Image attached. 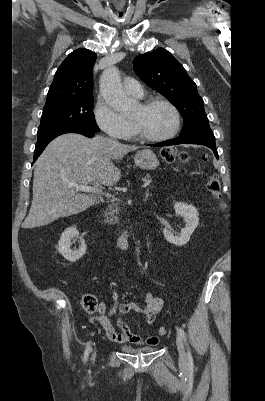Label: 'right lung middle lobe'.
Returning <instances> with one entry per match:
<instances>
[{"mask_svg":"<svg viewBox=\"0 0 265 401\" xmlns=\"http://www.w3.org/2000/svg\"><path fill=\"white\" fill-rule=\"evenodd\" d=\"M93 103V96H85L45 105L37 136L55 129L100 131L92 111Z\"/></svg>","mask_w":265,"mask_h":401,"instance_id":"1","label":"right lung middle lobe"}]
</instances>
